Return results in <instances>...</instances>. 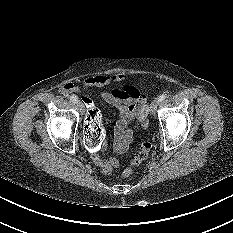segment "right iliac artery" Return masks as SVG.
Instances as JSON below:
<instances>
[{
	"label": "right iliac artery",
	"instance_id": "82829eb1",
	"mask_svg": "<svg viewBox=\"0 0 233 233\" xmlns=\"http://www.w3.org/2000/svg\"><path fill=\"white\" fill-rule=\"evenodd\" d=\"M70 100L72 101V102H74V103H77V98H76V96H74V95H72V96H70Z\"/></svg>",
	"mask_w": 233,
	"mask_h": 233
}]
</instances>
